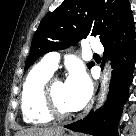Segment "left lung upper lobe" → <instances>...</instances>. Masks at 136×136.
<instances>
[{"mask_svg": "<svg viewBox=\"0 0 136 136\" xmlns=\"http://www.w3.org/2000/svg\"><path fill=\"white\" fill-rule=\"evenodd\" d=\"M131 12L128 0H64L41 21L25 70L41 55L65 49L89 35L109 38ZM93 62L87 66L91 68Z\"/></svg>", "mask_w": 136, "mask_h": 136, "instance_id": "1", "label": "left lung upper lobe"}]
</instances>
